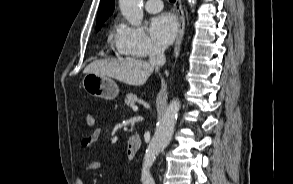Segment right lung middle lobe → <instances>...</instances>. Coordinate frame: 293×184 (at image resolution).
<instances>
[{"label":"right lung middle lobe","instance_id":"obj_1","mask_svg":"<svg viewBox=\"0 0 293 184\" xmlns=\"http://www.w3.org/2000/svg\"><path fill=\"white\" fill-rule=\"evenodd\" d=\"M102 25L96 26V30L98 31Z\"/></svg>","mask_w":293,"mask_h":184}]
</instances>
